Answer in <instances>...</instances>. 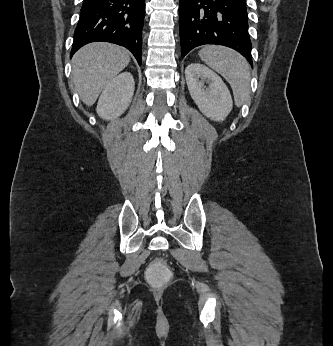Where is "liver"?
Masks as SVG:
<instances>
[{
  "instance_id": "liver-1",
  "label": "liver",
  "mask_w": 333,
  "mask_h": 346,
  "mask_svg": "<svg viewBox=\"0 0 333 346\" xmlns=\"http://www.w3.org/2000/svg\"><path fill=\"white\" fill-rule=\"evenodd\" d=\"M130 62L124 48L95 42L79 49L72 59V77L81 100L91 106L101 91Z\"/></svg>"
}]
</instances>
